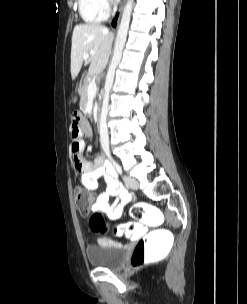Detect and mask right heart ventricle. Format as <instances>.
Wrapping results in <instances>:
<instances>
[{"instance_id": "obj_1", "label": "right heart ventricle", "mask_w": 247, "mask_h": 304, "mask_svg": "<svg viewBox=\"0 0 247 304\" xmlns=\"http://www.w3.org/2000/svg\"><path fill=\"white\" fill-rule=\"evenodd\" d=\"M78 11L87 24H98L108 17V10L102 0H78Z\"/></svg>"}]
</instances>
